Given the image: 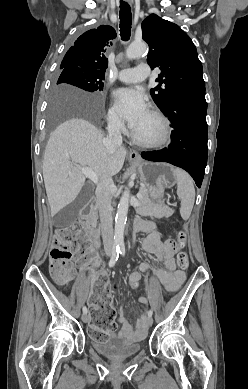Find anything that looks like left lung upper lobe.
<instances>
[{"mask_svg":"<svg viewBox=\"0 0 248 389\" xmlns=\"http://www.w3.org/2000/svg\"><path fill=\"white\" fill-rule=\"evenodd\" d=\"M142 33L149 45L148 64L161 70L159 84L150 91L161 111L181 93L205 88L196 47L178 25L151 14L142 22Z\"/></svg>","mask_w":248,"mask_h":389,"instance_id":"1","label":"left lung upper lobe"}]
</instances>
